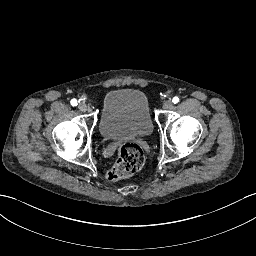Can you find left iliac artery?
I'll list each match as a JSON object with an SVG mask.
<instances>
[{
    "instance_id": "obj_1",
    "label": "left iliac artery",
    "mask_w": 256,
    "mask_h": 256,
    "mask_svg": "<svg viewBox=\"0 0 256 256\" xmlns=\"http://www.w3.org/2000/svg\"><path fill=\"white\" fill-rule=\"evenodd\" d=\"M172 102H173L174 104L178 103V102H179V98H178V97H174V98L172 99Z\"/></svg>"
}]
</instances>
